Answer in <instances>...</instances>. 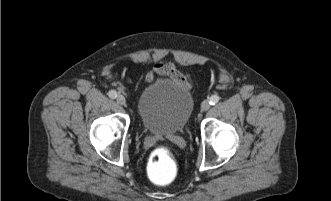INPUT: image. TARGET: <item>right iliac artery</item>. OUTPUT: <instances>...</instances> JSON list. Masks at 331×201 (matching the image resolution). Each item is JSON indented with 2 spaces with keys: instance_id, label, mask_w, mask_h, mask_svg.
Listing matches in <instances>:
<instances>
[{
  "instance_id": "obj_1",
  "label": "right iliac artery",
  "mask_w": 331,
  "mask_h": 201,
  "mask_svg": "<svg viewBox=\"0 0 331 201\" xmlns=\"http://www.w3.org/2000/svg\"><path fill=\"white\" fill-rule=\"evenodd\" d=\"M108 96L112 99H115L117 97V92L115 90H110L108 92Z\"/></svg>"
}]
</instances>
